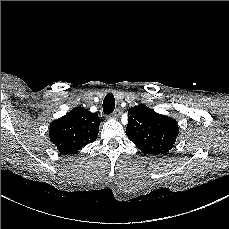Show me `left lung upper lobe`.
<instances>
[{"label": "left lung upper lobe", "mask_w": 229, "mask_h": 229, "mask_svg": "<svg viewBox=\"0 0 229 229\" xmlns=\"http://www.w3.org/2000/svg\"><path fill=\"white\" fill-rule=\"evenodd\" d=\"M179 127L173 118L145 105L128 110L126 134L144 154H163L173 148Z\"/></svg>", "instance_id": "1"}]
</instances>
